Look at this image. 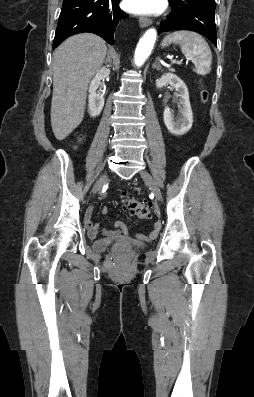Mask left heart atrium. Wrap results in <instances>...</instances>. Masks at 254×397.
<instances>
[{
	"label": "left heart atrium",
	"mask_w": 254,
	"mask_h": 397,
	"mask_svg": "<svg viewBox=\"0 0 254 397\" xmlns=\"http://www.w3.org/2000/svg\"><path fill=\"white\" fill-rule=\"evenodd\" d=\"M126 10L137 14H154L164 7V0H124Z\"/></svg>",
	"instance_id": "left-heart-atrium-1"
}]
</instances>
